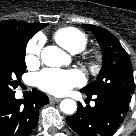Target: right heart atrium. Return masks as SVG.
I'll list each match as a JSON object with an SVG mask.
<instances>
[{"instance_id":"d8ad5b80","label":"right heart atrium","mask_w":136,"mask_h":136,"mask_svg":"<svg viewBox=\"0 0 136 136\" xmlns=\"http://www.w3.org/2000/svg\"><path fill=\"white\" fill-rule=\"evenodd\" d=\"M43 43V37L36 35L27 44L25 62L28 66H35L38 64Z\"/></svg>"}]
</instances>
